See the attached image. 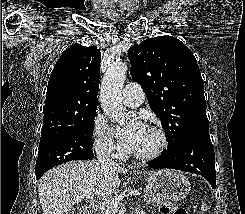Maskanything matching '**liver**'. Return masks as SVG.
<instances>
[{
  "label": "liver",
  "mask_w": 245,
  "mask_h": 214,
  "mask_svg": "<svg viewBox=\"0 0 245 214\" xmlns=\"http://www.w3.org/2000/svg\"><path fill=\"white\" fill-rule=\"evenodd\" d=\"M120 165L104 167L96 161L69 162L47 171L38 184L43 214H64L88 194L110 196L120 185Z\"/></svg>",
  "instance_id": "obj_1"
}]
</instances>
